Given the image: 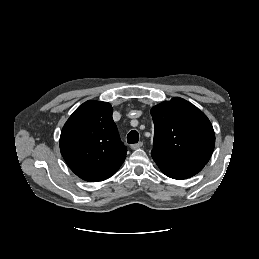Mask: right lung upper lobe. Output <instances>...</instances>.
I'll return each mask as SVG.
<instances>
[{
    "label": "right lung upper lobe",
    "instance_id": "cb5924a9",
    "mask_svg": "<svg viewBox=\"0 0 259 259\" xmlns=\"http://www.w3.org/2000/svg\"><path fill=\"white\" fill-rule=\"evenodd\" d=\"M107 102L86 101L65 123L60 151L70 169L86 181H102L112 176L126 158V146L112 119Z\"/></svg>",
    "mask_w": 259,
    "mask_h": 259
}]
</instances>
